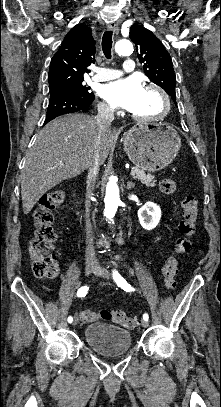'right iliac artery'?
Listing matches in <instances>:
<instances>
[{"instance_id":"1","label":"right iliac artery","mask_w":221,"mask_h":407,"mask_svg":"<svg viewBox=\"0 0 221 407\" xmlns=\"http://www.w3.org/2000/svg\"><path fill=\"white\" fill-rule=\"evenodd\" d=\"M89 287L87 286H83L81 287L78 292H77V296L78 297H84L86 296L87 292H88ZM73 321V318L70 316L68 317V322L71 323Z\"/></svg>"}]
</instances>
